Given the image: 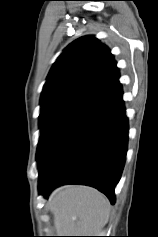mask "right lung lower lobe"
Listing matches in <instances>:
<instances>
[{
	"label": "right lung lower lobe",
	"instance_id": "right-lung-lower-lobe-1",
	"mask_svg": "<svg viewBox=\"0 0 158 237\" xmlns=\"http://www.w3.org/2000/svg\"><path fill=\"white\" fill-rule=\"evenodd\" d=\"M118 81L71 112L37 150L39 189L45 197L62 184H85L112 204L124 167L128 122Z\"/></svg>",
	"mask_w": 158,
	"mask_h": 237
}]
</instances>
